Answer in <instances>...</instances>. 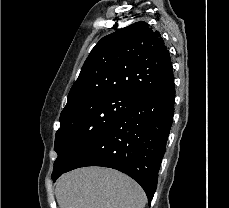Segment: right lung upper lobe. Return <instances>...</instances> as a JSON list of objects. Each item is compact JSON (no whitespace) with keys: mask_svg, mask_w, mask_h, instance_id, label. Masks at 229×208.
<instances>
[{"mask_svg":"<svg viewBox=\"0 0 229 208\" xmlns=\"http://www.w3.org/2000/svg\"><path fill=\"white\" fill-rule=\"evenodd\" d=\"M170 54L158 31L136 22L103 37L92 49L61 112L106 95L137 101L173 79Z\"/></svg>","mask_w":229,"mask_h":208,"instance_id":"right-lung-upper-lobe-1","label":"right lung upper lobe"}]
</instances>
